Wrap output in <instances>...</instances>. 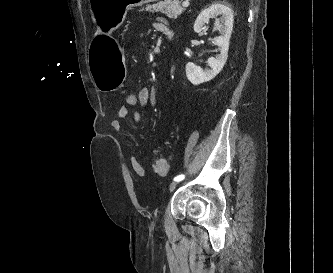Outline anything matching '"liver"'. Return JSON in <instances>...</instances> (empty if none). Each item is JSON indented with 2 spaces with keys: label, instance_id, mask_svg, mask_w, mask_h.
<instances>
[{
  "label": "liver",
  "instance_id": "obj_1",
  "mask_svg": "<svg viewBox=\"0 0 333 273\" xmlns=\"http://www.w3.org/2000/svg\"><path fill=\"white\" fill-rule=\"evenodd\" d=\"M91 15H92V20L95 21V17H94V14L92 11H91Z\"/></svg>",
  "mask_w": 333,
  "mask_h": 273
}]
</instances>
